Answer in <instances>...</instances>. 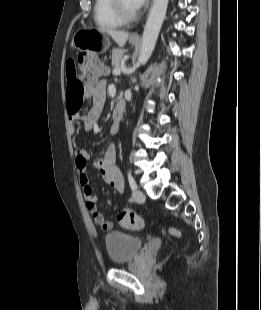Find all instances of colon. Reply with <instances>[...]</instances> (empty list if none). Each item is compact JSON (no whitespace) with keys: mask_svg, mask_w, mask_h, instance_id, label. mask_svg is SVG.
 Returning a JSON list of instances; mask_svg holds the SVG:
<instances>
[{"mask_svg":"<svg viewBox=\"0 0 261 310\" xmlns=\"http://www.w3.org/2000/svg\"><path fill=\"white\" fill-rule=\"evenodd\" d=\"M76 65L79 70L77 80L81 85L84 83L93 84L106 70L105 65L98 58L90 54H80L76 59ZM118 221L122 227L129 229L138 230L142 229L145 225L143 217L131 210H123L118 215ZM169 232L175 237L180 236L179 230L175 227H171Z\"/></svg>","mask_w":261,"mask_h":310,"instance_id":"obj_1","label":"colon"}]
</instances>
